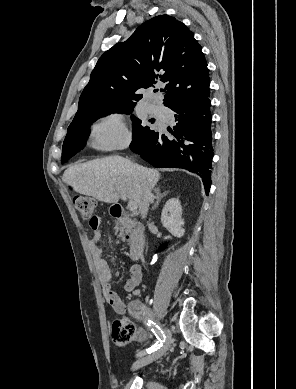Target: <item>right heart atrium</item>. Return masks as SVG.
I'll return each instance as SVG.
<instances>
[{
    "label": "right heart atrium",
    "instance_id": "obj_1",
    "mask_svg": "<svg viewBox=\"0 0 296 389\" xmlns=\"http://www.w3.org/2000/svg\"><path fill=\"white\" fill-rule=\"evenodd\" d=\"M130 141L125 118L119 111L100 117L92 126L91 143L95 148L111 150L125 147Z\"/></svg>",
    "mask_w": 296,
    "mask_h": 389
}]
</instances>
